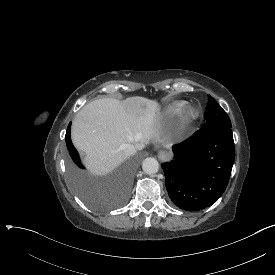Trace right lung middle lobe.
<instances>
[{
	"mask_svg": "<svg viewBox=\"0 0 275 275\" xmlns=\"http://www.w3.org/2000/svg\"><path fill=\"white\" fill-rule=\"evenodd\" d=\"M69 124L66 132L68 149L67 167L69 182L76 194L91 210H107L126 201L131 182L135 179L139 161L148 157L147 149L132 153L130 163L123 162L112 174L102 175L87 169L72 144Z\"/></svg>",
	"mask_w": 275,
	"mask_h": 275,
	"instance_id": "dd1d6c3e",
	"label": "right lung middle lobe"
}]
</instances>
